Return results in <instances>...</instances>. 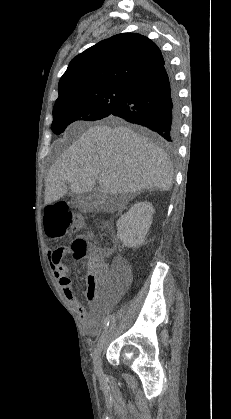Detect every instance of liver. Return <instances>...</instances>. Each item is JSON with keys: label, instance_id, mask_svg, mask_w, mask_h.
I'll return each mask as SVG.
<instances>
[{"label": "liver", "instance_id": "6515ba94", "mask_svg": "<svg viewBox=\"0 0 231 419\" xmlns=\"http://www.w3.org/2000/svg\"><path fill=\"white\" fill-rule=\"evenodd\" d=\"M173 169L166 153L145 136L118 125L88 128L51 166L45 178L44 203L67 194L93 190L98 181L107 194L145 189L169 190Z\"/></svg>", "mask_w": 231, "mask_h": 419}]
</instances>
